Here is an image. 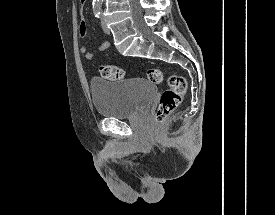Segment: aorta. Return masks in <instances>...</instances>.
Returning a JSON list of instances; mask_svg holds the SVG:
<instances>
[{
    "label": "aorta",
    "instance_id": "obj_1",
    "mask_svg": "<svg viewBox=\"0 0 275 215\" xmlns=\"http://www.w3.org/2000/svg\"><path fill=\"white\" fill-rule=\"evenodd\" d=\"M103 0H93V3L95 5H100Z\"/></svg>",
    "mask_w": 275,
    "mask_h": 215
}]
</instances>
